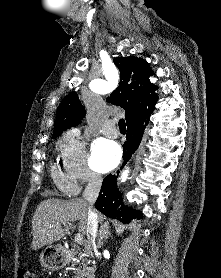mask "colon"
<instances>
[{"mask_svg": "<svg viewBox=\"0 0 221 278\" xmlns=\"http://www.w3.org/2000/svg\"><path fill=\"white\" fill-rule=\"evenodd\" d=\"M18 278H37V275L30 270L21 269L18 272Z\"/></svg>", "mask_w": 221, "mask_h": 278, "instance_id": "colon-1", "label": "colon"}]
</instances>
